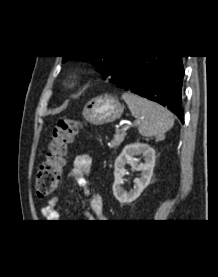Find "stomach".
Segmentation results:
<instances>
[{"instance_id":"stomach-1","label":"stomach","mask_w":218,"mask_h":277,"mask_svg":"<svg viewBox=\"0 0 218 277\" xmlns=\"http://www.w3.org/2000/svg\"><path fill=\"white\" fill-rule=\"evenodd\" d=\"M124 106L111 95H101L91 99L84 106L83 118L93 125L113 122L121 117Z\"/></svg>"}]
</instances>
